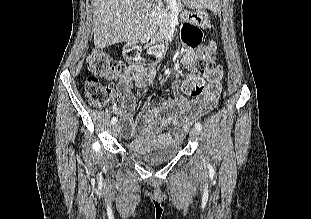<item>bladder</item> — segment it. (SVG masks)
<instances>
[{"mask_svg": "<svg viewBox=\"0 0 311 219\" xmlns=\"http://www.w3.org/2000/svg\"><path fill=\"white\" fill-rule=\"evenodd\" d=\"M125 148L130 154L148 162L170 160L176 157L181 151V146L178 144H170L157 148L139 140L126 143Z\"/></svg>", "mask_w": 311, "mask_h": 219, "instance_id": "1", "label": "bladder"}]
</instances>
